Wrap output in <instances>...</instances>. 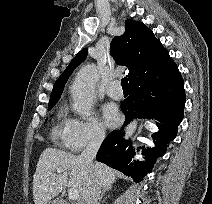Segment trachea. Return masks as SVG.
I'll list each match as a JSON object with an SVG mask.
<instances>
[{
    "label": "trachea",
    "mask_w": 212,
    "mask_h": 204,
    "mask_svg": "<svg viewBox=\"0 0 212 204\" xmlns=\"http://www.w3.org/2000/svg\"><path fill=\"white\" fill-rule=\"evenodd\" d=\"M121 85L123 90H128V79L126 77L121 80Z\"/></svg>",
    "instance_id": "obj_1"
}]
</instances>
